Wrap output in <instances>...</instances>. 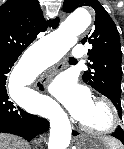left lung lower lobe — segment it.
I'll list each match as a JSON object with an SVG mask.
<instances>
[{
	"label": "left lung lower lobe",
	"instance_id": "left-lung-lower-lobe-1",
	"mask_svg": "<svg viewBox=\"0 0 124 149\" xmlns=\"http://www.w3.org/2000/svg\"><path fill=\"white\" fill-rule=\"evenodd\" d=\"M73 135H76V133H73ZM113 137L117 138L124 144V132L121 126H118L116 131L112 134Z\"/></svg>",
	"mask_w": 124,
	"mask_h": 149
}]
</instances>
